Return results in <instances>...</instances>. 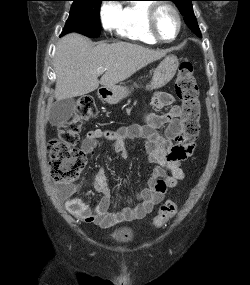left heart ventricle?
Segmentation results:
<instances>
[{
	"instance_id": "obj_1",
	"label": "left heart ventricle",
	"mask_w": 250,
	"mask_h": 285,
	"mask_svg": "<svg viewBox=\"0 0 250 285\" xmlns=\"http://www.w3.org/2000/svg\"><path fill=\"white\" fill-rule=\"evenodd\" d=\"M156 28L164 39L173 38L178 29V23L175 15L167 8L159 10L156 19Z\"/></svg>"
}]
</instances>
